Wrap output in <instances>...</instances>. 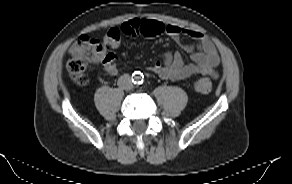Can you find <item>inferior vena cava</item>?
<instances>
[{
    "instance_id": "602c4592",
    "label": "inferior vena cava",
    "mask_w": 292,
    "mask_h": 184,
    "mask_svg": "<svg viewBox=\"0 0 292 184\" xmlns=\"http://www.w3.org/2000/svg\"><path fill=\"white\" fill-rule=\"evenodd\" d=\"M118 86L124 90H131L133 88V83L131 77L128 74H124L118 79Z\"/></svg>"
}]
</instances>
